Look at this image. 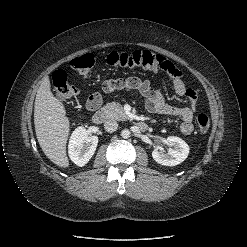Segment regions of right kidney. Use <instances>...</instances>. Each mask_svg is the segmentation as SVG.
<instances>
[{
    "label": "right kidney",
    "instance_id": "obj_1",
    "mask_svg": "<svg viewBox=\"0 0 247 247\" xmlns=\"http://www.w3.org/2000/svg\"><path fill=\"white\" fill-rule=\"evenodd\" d=\"M98 137L92 136L84 127L76 128L69 141V157L77 166L83 167L94 155Z\"/></svg>",
    "mask_w": 247,
    "mask_h": 247
}]
</instances>
